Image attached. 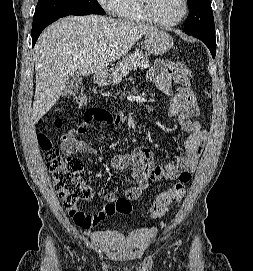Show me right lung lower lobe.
I'll return each mask as SVG.
<instances>
[{
	"label": "right lung lower lobe",
	"mask_w": 253,
	"mask_h": 271,
	"mask_svg": "<svg viewBox=\"0 0 253 271\" xmlns=\"http://www.w3.org/2000/svg\"><path fill=\"white\" fill-rule=\"evenodd\" d=\"M61 18V17H60ZM59 19V18H57ZM57 19H54V20H51L49 21L48 23H46L45 25H43L42 27H40L39 29L35 30V31H32V45L34 46L40 33L42 32V30L48 26L49 24H51L52 22L56 21Z\"/></svg>",
	"instance_id": "1"
}]
</instances>
